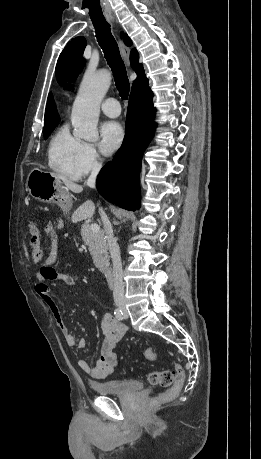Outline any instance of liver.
<instances>
[{
  "label": "liver",
  "instance_id": "obj_1",
  "mask_svg": "<svg viewBox=\"0 0 261 459\" xmlns=\"http://www.w3.org/2000/svg\"><path fill=\"white\" fill-rule=\"evenodd\" d=\"M54 175L63 182V184L68 190H71L74 193H81L83 191V187L81 185L76 184L60 175H56V174ZM94 212H95L94 203L91 200H87L77 208L72 219L73 221L88 219L93 216Z\"/></svg>",
  "mask_w": 261,
  "mask_h": 459
}]
</instances>
